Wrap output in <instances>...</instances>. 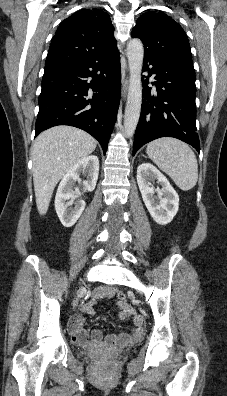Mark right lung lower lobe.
I'll use <instances>...</instances> for the list:
<instances>
[{
  "mask_svg": "<svg viewBox=\"0 0 227 396\" xmlns=\"http://www.w3.org/2000/svg\"><path fill=\"white\" fill-rule=\"evenodd\" d=\"M120 93L117 48L87 60L45 68L35 136L56 125L74 126L97 139L105 154Z\"/></svg>",
  "mask_w": 227,
  "mask_h": 396,
  "instance_id": "1",
  "label": "right lung lower lobe"
}]
</instances>
